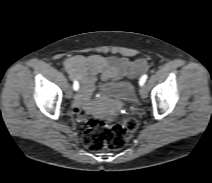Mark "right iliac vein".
Listing matches in <instances>:
<instances>
[{"mask_svg": "<svg viewBox=\"0 0 212 183\" xmlns=\"http://www.w3.org/2000/svg\"><path fill=\"white\" fill-rule=\"evenodd\" d=\"M66 96H67V98H72L73 97V91H72L71 87H69L67 89Z\"/></svg>", "mask_w": 212, "mask_h": 183, "instance_id": "63e3f726", "label": "right iliac vein"}]
</instances>
